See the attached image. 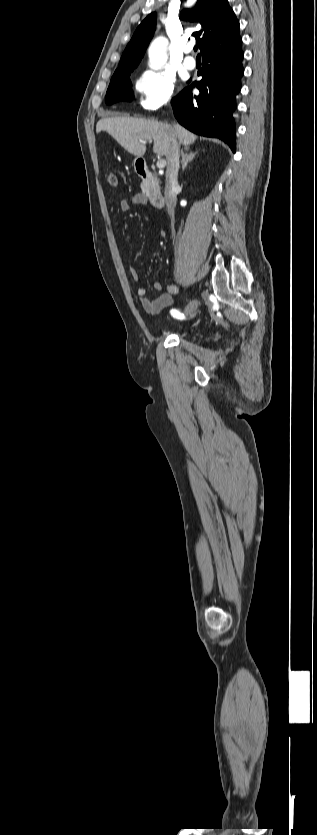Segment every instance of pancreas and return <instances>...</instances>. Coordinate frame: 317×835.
Here are the masks:
<instances>
[{"label":"pancreas","instance_id":"cf45deb5","mask_svg":"<svg viewBox=\"0 0 317 835\" xmlns=\"http://www.w3.org/2000/svg\"><path fill=\"white\" fill-rule=\"evenodd\" d=\"M141 189H142V193L145 194L147 197H149L150 200H154V196L151 193V186H150L148 181H144L142 183ZM156 190H157V188H154V191H156Z\"/></svg>","mask_w":317,"mask_h":835}]
</instances>
